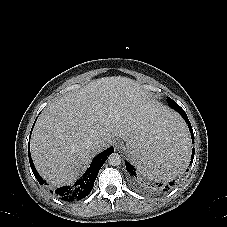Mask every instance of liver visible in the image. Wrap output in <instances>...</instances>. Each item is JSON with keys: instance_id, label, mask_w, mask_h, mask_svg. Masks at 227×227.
Instances as JSON below:
<instances>
[{"instance_id": "6515ba94", "label": "liver", "mask_w": 227, "mask_h": 227, "mask_svg": "<svg viewBox=\"0 0 227 227\" xmlns=\"http://www.w3.org/2000/svg\"><path fill=\"white\" fill-rule=\"evenodd\" d=\"M158 110L132 79L104 77L66 93L40 115L31 138V155L40 175L51 186L72 184L100 151ZM103 150V149H102Z\"/></svg>"}]
</instances>
